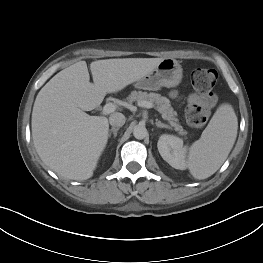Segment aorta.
I'll return each instance as SVG.
<instances>
[{"label": "aorta", "mask_w": 263, "mask_h": 263, "mask_svg": "<svg viewBox=\"0 0 263 263\" xmlns=\"http://www.w3.org/2000/svg\"><path fill=\"white\" fill-rule=\"evenodd\" d=\"M133 135L136 139L142 140L148 135V131L145 126H136L133 130Z\"/></svg>", "instance_id": "obj_1"}]
</instances>
